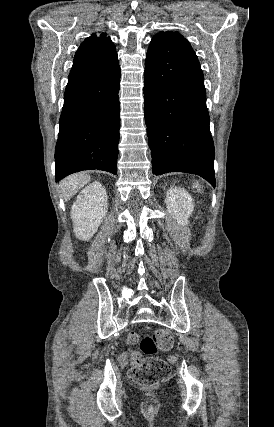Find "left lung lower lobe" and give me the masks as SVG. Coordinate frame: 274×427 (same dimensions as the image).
Returning <instances> with one entry per match:
<instances>
[{"mask_svg": "<svg viewBox=\"0 0 274 427\" xmlns=\"http://www.w3.org/2000/svg\"><path fill=\"white\" fill-rule=\"evenodd\" d=\"M144 112L152 173L197 174L215 187L204 77L195 52L183 42L153 37L145 61Z\"/></svg>", "mask_w": 274, "mask_h": 427, "instance_id": "left-lung-lower-lobe-1", "label": "left lung lower lobe"}]
</instances>
